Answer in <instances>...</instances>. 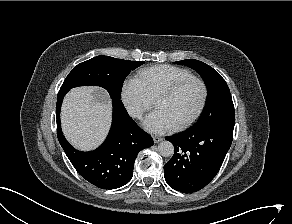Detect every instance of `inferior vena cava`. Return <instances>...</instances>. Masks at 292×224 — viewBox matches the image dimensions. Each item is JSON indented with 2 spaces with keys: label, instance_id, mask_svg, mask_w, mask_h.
<instances>
[{
  "label": "inferior vena cava",
  "instance_id": "1",
  "mask_svg": "<svg viewBox=\"0 0 292 224\" xmlns=\"http://www.w3.org/2000/svg\"><path fill=\"white\" fill-rule=\"evenodd\" d=\"M130 113L133 117H137V118H141L143 114L142 110L138 108L131 110Z\"/></svg>",
  "mask_w": 292,
  "mask_h": 224
}]
</instances>
